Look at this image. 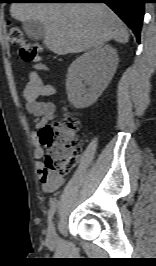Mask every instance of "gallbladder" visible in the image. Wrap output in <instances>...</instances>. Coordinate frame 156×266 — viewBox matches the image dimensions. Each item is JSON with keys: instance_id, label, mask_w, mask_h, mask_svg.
Returning a JSON list of instances; mask_svg holds the SVG:
<instances>
[{"instance_id": "bac80fb5", "label": "gallbladder", "mask_w": 156, "mask_h": 266, "mask_svg": "<svg viewBox=\"0 0 156 266\" xmlns=\"http://www.w3.org/2000/svg\"><path fill=\"white\" fill-rule=\"evenodd\" d=\"M26 35L32 40H41L45 35V27L38 20H29L23 23Z\"/></svg>"}]
</instances>
